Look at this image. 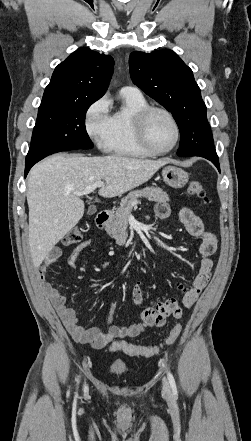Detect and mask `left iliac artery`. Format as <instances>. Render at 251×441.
<instances>
[{
	"instance_id": "left-iliac-artery-1",
	"label": "left iliac artery",
	"mask_w": 251,
	"mask_h": 441,
	"mask_svg": "<svg viewBox=\"0 0 251 441\" xmlns=\"http://www.w3.org/2000/svg\"><path fill=\"white\" fill-rule=\"evenodd\" d=\"M167 377H168L173 394H177L176 382H175V379L170 371H168Z\"/></svg>"
}]
</instances>
